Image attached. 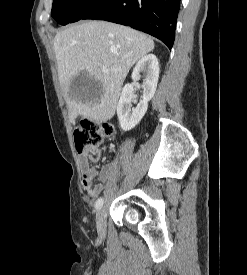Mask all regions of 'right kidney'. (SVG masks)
<instances>
[{
  "label": "right kidney",
  "mask_w": 247,
  "mask_h": 275,
  "mask_svg": "<svg viewBox=\"0 0 247 275\" xmlns=\"http://www.w3.org/2000/svg\"><path fill=\"white\" fill-rule=\"evenodd\" d=\"M140 73L145 76L142 83L143 100L136 108H132V95L135 89L133 84H126L117 104V116L124 131L131 130L141 121L148 109V102L155 94L159 79V63L155 55H145L138 61L132 72L134 82L141 77Z\"/></svg>",
  "instance_id": "1"
}]
</instances>
